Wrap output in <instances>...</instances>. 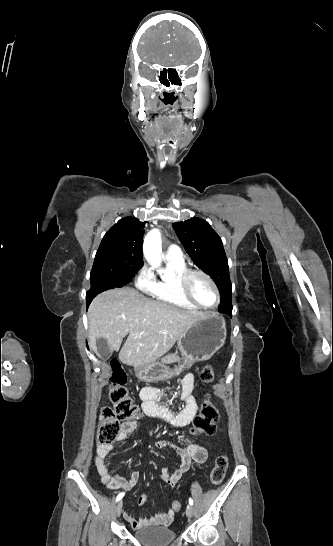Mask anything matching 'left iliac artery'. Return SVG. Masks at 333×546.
<instances>
[{"instance_id":"obj_1","label":"left iliac artery","mask_w":333,"mask_h":546,"mask_svg":"<svg viewBox=\"0 0 333 546\" xmlns=\"http://www.w3.org/2000/svg\"><path fill=\"white\" fill-rule=\"evenodd\" d=\"M189 504L193 505V499L192 498H189Z\"/></svg>"}]
</instances>
